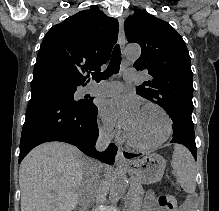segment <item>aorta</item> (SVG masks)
I'll list each match as a JSON object with an SVG mask.
<instances>
[{
    "mask_svg": "<svg viewBox=\"0 0 219 211\" xmlns=\"http://www.w3.org/2000/svg\"><path fill=\"white\" fill-rule=\"evenodd\" d=\"M126 56L131 60L139 58L141 49L138 45H128L126 47ZM127 188V180L124 176H118L112 182L109 192V201L111 203H117L124 195Z\"/></svg>",
    "mask_w": 219,
    "mask_h": 211,
    "instance_id": "aorta-1",
    "label": "aorta"
}]
</instances>
